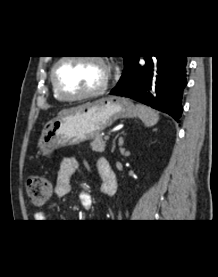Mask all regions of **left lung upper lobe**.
I'll return each mask as SVG.
<instances>
[{
    "label": "left lung upper lobe",
    "mask_w": 218,
    "mask_h": 277,
    "mask_svg": "<svg viewBox=\"0 0 218 277\" xmlns=\"http://www.w3.org/2000/svg\"><path fill=\"white\" fill-rule=\"evenodd\" d=\"M125 66L129 63V61L133 58V56H123Z\"/></svg>",
    "instance_id": "left-lung-upper-lobe-1"
}]
</instances>
